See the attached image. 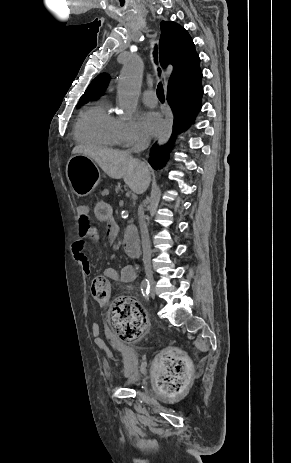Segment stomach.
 Wrapping results in <instances>:
<instances>
[{"instance_id": "obj_1", "label": "stomach", "mask_w": 291, "mask_h": 463, "mask_svg": "<svg viewBox=\"0 0 291 463\" xmlns=\"http://www.w3.org/2000/svg\"><path fill=\"white\" fill-rule=\"evenodd\" d=\"M67 179L73 192L87 196L96 186L98 168L92 159L82 154H74L66 166Z\"/></svg>"}]
</instances>
